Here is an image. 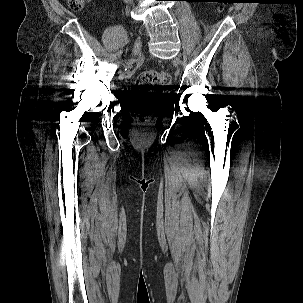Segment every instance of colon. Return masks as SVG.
Segmentation results:
<instances>
[{
	"label": "colon",
	"mask_w": 303,
	"mask_h": 303,
	"mask_svg": "<svg viewBox=\"0 0 303 303\" xmlns=\"http://www.w3.org/2000/svg\"><path fill=\"white\" fill-rule=\"evenodd\" d=\"M67 2L71 9L79 10L85 0H67ZM170 82V76L165 71L148 70L140 73L137 86L141 91L135 95V100L143 116L165 102L166 94L156 89L168 87Z\"/></svg>",
	"instance_id": "1"
}]
</instances>
